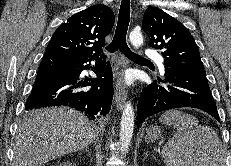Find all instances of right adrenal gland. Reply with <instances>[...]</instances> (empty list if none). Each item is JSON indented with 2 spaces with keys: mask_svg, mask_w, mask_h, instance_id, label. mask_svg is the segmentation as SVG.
<instances>
[{
  "mask_svg": "<svg viewBox=\"0 0 231 166\" xmlns=\"http://www.w3.org/2000/svg\"><path fill=\"white\" fill-rule=\"evenodd\" d=\"M83 152H86L87 155L91 158V153L89 151V147H86L85 150H83ZM92 161V159H90Z\"/></svg>",
  "mask_w": 231,
  "mask_h": 166,
  "instance_id": "right-adrenal-gland-1",
  "label": "right adrenal gland"
}]
</instances>
